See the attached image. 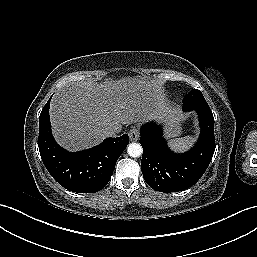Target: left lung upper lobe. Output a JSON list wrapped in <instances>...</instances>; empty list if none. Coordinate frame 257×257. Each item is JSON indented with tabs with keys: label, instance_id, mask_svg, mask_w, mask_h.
<instances>
[{
	"label": "left lung upper lobe",
	"instance_id": "left-lung-upper-lobe-1",
	"mask_svg": "<svg viewBox=\"0 0 257 257\" xmlns=\"http://www.w3.org/2000/svg\"><path fill=\"white\" fill-rule=\"evenodd\" d=\"M199 107H208V104L203 96V94L199 91L194 89L189 94L186 95L183 101V109L184 110H192Z\"/></svg>",
	"mask_w": 257,
	"mask_h": 257
}]
</instances>
